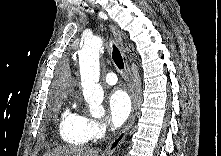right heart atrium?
Returning <instances> with one entry per match:
<instances>
[{"label": "right heart atrium", "instance_id": "1", "mask_svg": "<svg viewBox=\"0 0 221 156\" xmlns=\"http://www.w3.org/2000/svg\"><path fill=\"white\" fill-rule=\"evenodd\" d=\"M84 122V130L87 138L96 141L104 137L108 130L107 123L103 120L82 116Z\"/></svg>", "mask_w": 221, "mask_h": 156}]
</instances>
